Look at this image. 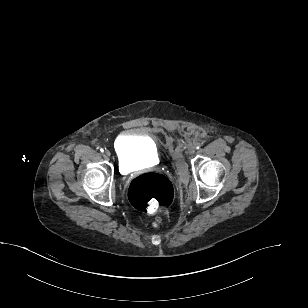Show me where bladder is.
<instances>
[{
    "label": "bladder",
    "mask_w": 308,
    "mask_h": 308,
    "mask_svg": "<svg viewBox=\"0 0 308 308\" xmlns=\"http://www.w3.org/2000/svg\"><path fill=\"white\" fill-rule=\"evenodd\" d=\"M114 151L119 166L123 169L151 165L159 161L155 141L140 129H129L122 133L114 143Z\"/></svg>",
    "instance_id": "31cf9c89"
}]
</instances>
